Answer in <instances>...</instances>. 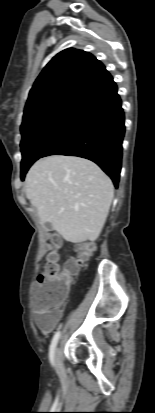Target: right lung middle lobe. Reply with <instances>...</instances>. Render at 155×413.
<instances>
[{"label":"right lung middle lobe","instance_id":"1","mask_svg":"<svg viewBox=\"0 0 155 413\" xmlns=\"http://www.w3.org/2000/svg\"><path fill=\"white\" fill-rule=\"evenodd\" d=\"M78 104H66L52 109L21 126V179L30 166L62 134Z\"/></svg>","mask_w":155,"mask_h":413}]
</instances>
